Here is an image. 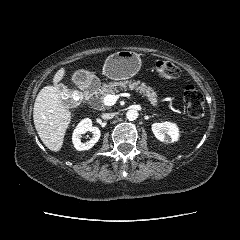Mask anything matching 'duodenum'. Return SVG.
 <instances>
[{
	"label": "duodenum",
	"mask_w": 240,
	"mask_h": 240,
	"mask_svg": "<svg viewBox=\"0 0 240 240\" xmlns=\"http://www.w3.org/2000/svg\"><path fill=\"white\" fill-rule=\"evenodd\" d=\"M82 86L84 88L86 98L93 96L99 88L98 82L93 78L85 79V81L82 83Z\"/></svg>",
	"instance_id": "1"
}]
</instances>
